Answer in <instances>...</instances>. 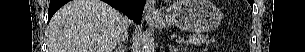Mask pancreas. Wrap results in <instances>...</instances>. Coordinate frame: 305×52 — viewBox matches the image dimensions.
Segmentation results:
<instances>
[{
  "label": "pancreas",
  "instance_id": "obj_1",
  "mask_svg": "<svg viewBox=\"0 0 305 52\" xmlns=\"http://www.w3.org/2000/svg\"><path fill=\"white\" fill-rule=\"evenodd\" d=\"M187 45H197L201 46L203 44H209L210 40L207 39V36L201 35V34H195L189 36L187 41L185 42Z\"/></svg>",
  "mask_w": 305,
  "mask_h": 52
}]
</instances>
